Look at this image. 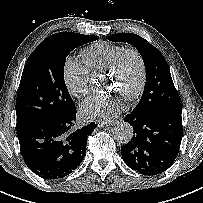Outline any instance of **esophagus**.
Listing matches in <instances>:
<instances>
[{"mask_svg": "<svg viewBox=\"0 0 203 203\" xmlns=\"http://www.w3.org/2000/svg\"><path fill=\"white\" fill-rule=\"evenodd\" d=\"M97 125L98 127H108L113 125V122H98Z\"/></svg>", "mask_w": 203, "mask_h": 203, "instance_id": "34e87169", "label": "esophagus"}]
</instances>
